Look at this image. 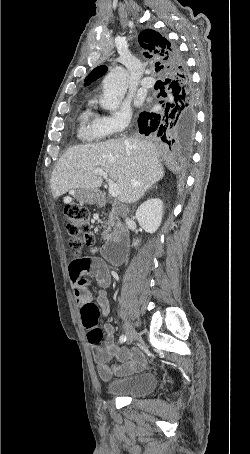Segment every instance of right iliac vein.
<instances>
[{
    "instance_id": "63e3f726",
    "label": "right iliac vein",
    "mask_w": 250,
    "mask_h": 454,
    "mask_svg": "<svg viewBox=\"0 0 250 454\" xmlns=\"http://www.w3.org/2000/svg\"><path fill=\"white\" fill-rule=\"evenodd\" d=\"M125 331L127 335V343L131 344L134 339L137 338V333L128 322H125Z\"/></svg>"
}]
</instances>
